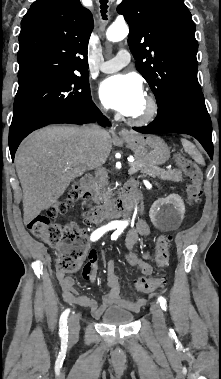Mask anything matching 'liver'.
Here are the masks:
<instances>
[{"mask_svg":"<svg viewBox=\"0 0 221 379\" xmlns=\"http://www.w3.org/2000/svg\"><path fill=\"white\" fill-rule=\"evenodd\" d=\"M86 128L49 126L20 144L15 165L23 189L25 224L52 206L76 177L106 162L112 148L110 134L104 131L92 138Z\"/></svg>","mask_w":221,"mask_h":379,"instance_id":"obj_1","label":"liver"}]
</instances>
